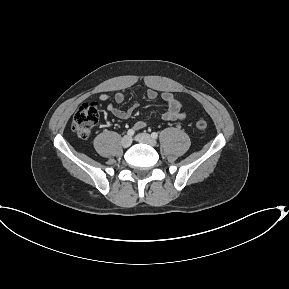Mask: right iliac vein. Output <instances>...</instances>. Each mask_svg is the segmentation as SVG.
<instances>
[{
	"instance_id": "obj_1",
	"label": "right iliac vein",
	"mask_w": 289,
	"mask_h": 289,
	"mask_svg": "<svg viewBox=\"0 0 289 289\" xmlns=\"http://www.w3.org/2000/svg\"><path fill=\"white\" fill-rule=\"evenodd\" d=\"M132 144V138L128 135H125L121 140V145L124 148H128Z\"/></svg>"
}]
</instances>
